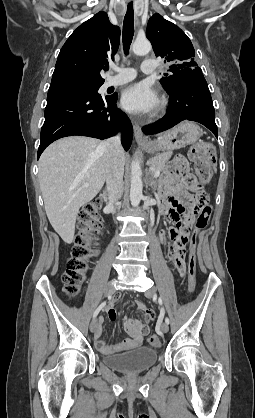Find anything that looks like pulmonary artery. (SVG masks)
Returning <instances> with one entry per match:
<instances>
[{"mask_svg":"<svg viewBox=\"0 0 255 418\" xmlns=\"http://www.w3.org/2000/svg\"><path fill=\"white\" fill-rule=\"evenodd\" d=\"M156 69V61L152 58L143 60L141 70L146 73H152ZM117 75L109 77L105 82V87L118 86L125 84L135 78V70L133 68H115Z\"/></svg>","mask_w":255,"mask_h":418,"instance_id":"e3ab8cb5","label":"pulmonary artery"}]
</instances>
